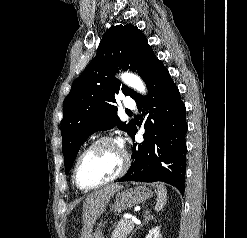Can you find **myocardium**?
<instances>
[{
  "instance_id": "myocardium-1",
  "label": "myocardium",
  "mask_w": 247,
  "mask_h": 238,
  "mask_svg": "<svg viewBox=\"0 0 247 238\" xmlns=\"http://www.w3.org/2000/svg\"><path fill=\"white\" fill-rule=\"evenodd\" d=\"M104 143H112V144L117 145L120 148L122 152V157H123L122 166L120 170L114 176L110 177L109 179H106L92 186H84L80 183L79 178H78V170H79L80 163L87 154H89L95 148H97L98 146ZM129 167H130V156L128 152L119 144V142L115 138L111 136H102L96 139L94 142H92L77 158L76 163L74 165V169H73V181L75 185L81 190H93V189L102 187L106 184H109L121 178L128 171Z\"/></svg>"
}]
</instances>
